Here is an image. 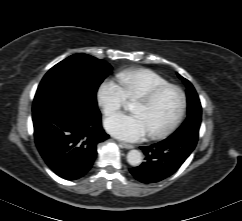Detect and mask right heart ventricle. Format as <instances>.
Instances as JSON below:
<instances>
[{"instance_id":"obj_1","label":"right heart ventricle","mask_w":242,"mask_h":221,"mask_svg":"<svg viewBox=\"0 0 242 221\" xmlns=\"http://www.w3.org/2000/svg\"><path fill=\"white\" fill-rule=\"evenodd\" d=\"M117 79L129 100H136L154 88L168 83L163 76L146 68L124 70L118 73Z\"/></svg>"}]
</instances>
